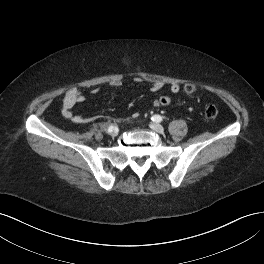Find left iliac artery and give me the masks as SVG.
<instances>
[{
    "mask_svg": "<svg viewBox=\"0 0 264 264\" xmlns=\"http://www.w3.org/2000/svg\"><path fill=\"white\" fill-rule=\"evenodd\" d=\"M151 119H152L153 122H156V123L162 121V117L160 115H154V116H152Z\"/></svg>",
    "mask_w": 264,
    "mask_h": 264,
    "instance_id": "obj_1",
    "label": "left iliac artery"
}]
</instances>
